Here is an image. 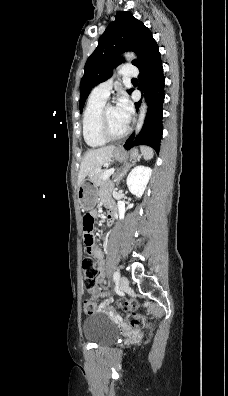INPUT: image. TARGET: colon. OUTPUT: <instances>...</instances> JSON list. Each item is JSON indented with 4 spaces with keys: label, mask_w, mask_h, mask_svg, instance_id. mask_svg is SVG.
I'll use <instances>...</instances> for the list:
<instances>
[{
    "label": "colon",
    "mask_w": 228,
    "mask_h": 396,
    "mask_svg": "<svg viewBox=\"0 0 228 396\" xmlns=\"http://www.w3.org/2000/svg\"><path fill=\"white\" fill-rule=\"evenodd\" d=\"M83 230L85 245L84 257L82 260L84 285L87 289H91L95 286L99 269L97 261L91 251V247L95 242V220L90 213H87L83 217ZM118 306L120 309L128 313L127 321L132 327L144 328L148 326V320L138 313V309L141 308V305L129 300H121L119 301ZM99 309L100 305L95 300H84L83 310L86 314H94Z\"/></svg>",
    "instance_id": "5ec220e1"
}]
</instances>
